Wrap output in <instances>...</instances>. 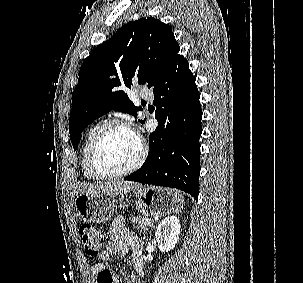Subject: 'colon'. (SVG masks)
I'll use <instances>...</instances> for the list:
<instances>
[{
    "instance_id": "5ec220e1",
    "label": "colon",
    "mask_w": 303,
    "mask_h": 283,
    "mask_svg": "<svg viewBox=\"0 0 303 283\" xmlns=\"http://www.w3.org/2000/svg\"><path fill=\"white\" fill-rule=\"evenodd\" d=\"M83 248L87 255L97 256L105 243V234L97 231L90 225H84L80 229ZM97 283H119L118 276L111 270L103 269L96 276Z\"/></svg>"
}]
</instances>
